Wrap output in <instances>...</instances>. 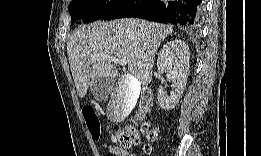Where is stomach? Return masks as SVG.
<instances>
[{
  "mask_svg": "<svg viewBox=\"0 0 261 156\" xmlns=\"http://www.w3.org/2000/svg\"><path fill=\"white\" fill-rule=\"evenodd\" d=\"M97 80H98V79L92 80V81L90 82V85H93Z\"/></svg>",
  "mask_w": 261,
  "mask_h": 156,
  "instance_id": "1",
  "label": "stomach"
}]
</instances>
